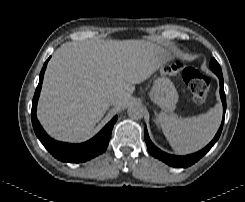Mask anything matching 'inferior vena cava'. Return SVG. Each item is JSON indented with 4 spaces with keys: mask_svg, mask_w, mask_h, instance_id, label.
I'll use <instances>...</instances> for the list:
<instances>
[{
    "mask_svg": "<svg viewBox=\"0 0 245 202\" xmlns=\"http://www.w3.org/2000/svg\"><path fill=\"white\" fill-rule=\"evenodd\" d=\"M118 99H119L118 96L116 94H113L108 97L107 101L110 105H115L118 103Z\"/></svg>",
    "mask_w": 245,
    "mask_h": 202,
    "instance_id": "obj_1",
    "label": "inferior vena cava"
}]
</instances>
